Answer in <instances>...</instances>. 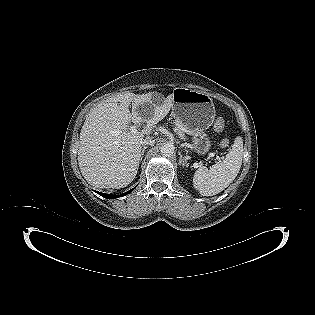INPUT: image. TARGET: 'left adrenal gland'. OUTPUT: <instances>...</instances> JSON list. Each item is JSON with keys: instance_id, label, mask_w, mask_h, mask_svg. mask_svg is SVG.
<instances>
[{"instance_id": "1", "label": "left adrenal gland", "mask_w": 315, "mask_h": 315, "mask_svg": "<svg viewBox=\"0 0 315 315\" xmlns=\"http://www.w3.org/2000/svg\"><path fill=\"white\" fill-rule=\"evenodd\" d=\"M178 154H179V156H180V158H179V165H182V167H184V166H188L187 165V163L185 162V159H184V157H183V155L181 154V152L179 151L178 152Z\"/></svg>"}]
</instances>
